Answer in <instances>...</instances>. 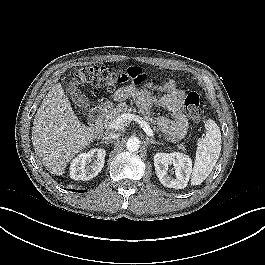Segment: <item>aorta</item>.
I'll return each instance as SVG.
<instances>
[{"mask_svg": "<svg viewBox=\"0 0 265 265\" xmlns=\"http://www.w3.org/2000/svg\"><path fill=\"white\" fill-rule=\"evenodd\" d=\"M127 150L130 152H135L139 150L140 147V141L138 138L132 137L128 139L126 143Z\"/></svg>", "mask_w": 265, "mask_h": 265, "instance_id": "aorta-1", "label": "aorta"}]
</instances>
